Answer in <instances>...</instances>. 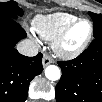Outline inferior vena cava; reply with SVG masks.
Masks as SVG:
<instances>
[{"mask_svg":"<svg viewBox=\"0 0 102 102\" xmlns=\"http://www.w3.org/2000/svg\"><path fill=\"white\" fill-rule=\"evenodd\" d=\"M17 50L20 54L29 56V57H32L38 54L37 45L30 39L22 40L17 45Z\"/></svg>","mask_w":102,"mask_h":102,"instance_id":"obj_1","label":"inferior vena cava"}]
</instances>
